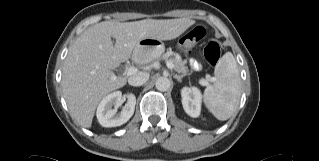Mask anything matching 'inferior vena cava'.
Returning <instances> with one entry per match:
<instances>
[{"label": "inferior vena cava", "instance_id": "1", "mask_svg": "<svg viewBox=\"0 0 319 161\" xmlns=\"http://www.w3.org/2000/svg\"><path fill=\"white\" fill-rule=\"evenodd\" d=\"M148 79H149V74L147 72H138L128 78V83L131 86H141L144 83H146Z\"/></svg>", "mask_w": 319, "mask_h": 161}]
</instances>
